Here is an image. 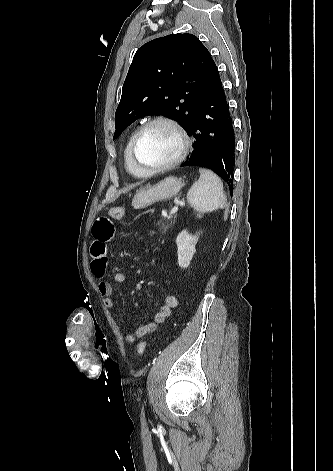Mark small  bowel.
<instances>
[{
  "mask_svg": "<svg viewBox=\"0 0 333 471\" xmlns=\"http://www.w3.org/2000/svg\"><path fill=\"white\" fill-rule=\"evenodd\" d=\"M94 240L91 245L90 254L92 257L91 269L94 275L100 279L98 289L105 306H113V286L110 282L104 280L106 275L108 260H107V244L115 234V226L109 217H98L92 228ZM113 281L121 284L125 281V275L121 272H116L113 275ZM178 306V299L176 295L167 293L164 296L163 305L154 316V321L146 323L137 328L134 333H128L125 339L129 343H134L138 339L143 338L147 334L153 333L157 326L163 323L167 318L172 316L174 309Z\"/></svg>",
  "mask_w": 333,
  "mask_h": 471,
  "instance_id": "c3829d8e",
  "label": "small bowel"
}]
</instances>
